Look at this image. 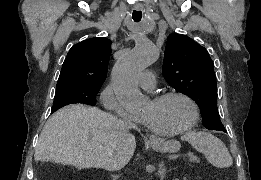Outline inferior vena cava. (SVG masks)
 Masks as SVG:
<instances>
[{"label": "inferior vena cava", "mask_w": 261, "mask_h": 180, "mask_svg": "<svg viewBox=\"0 0 261 180\" xmlns=\"http://www.w3.org/2000/svg\"><path fill=\"white\" fill-rule=\"evenodd\" d=\"M126 130H128L127 126H126ZM129 160H131L130 156H128V154H125V152H122V154L118 156V160H116V164H115L116 168H125Z\"/></svg>", "instance_id": "inferior-vena-cava-1"}]
</instances>
